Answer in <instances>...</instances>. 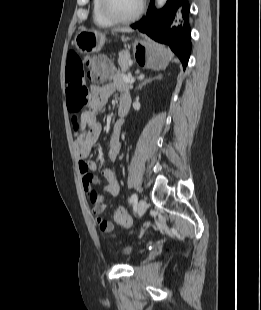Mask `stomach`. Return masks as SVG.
Returning <instances> with one entry per match:
<instances>
[{
	"label": "stomach",
	"mask_w": 261,
	"mask_h": 310,
	"mask_svg": "<svg viewBox=\"0 0 261 310\" xmlns=\"http://www.w3.org/2000/svg\"><path fill=\"white\" fill-rule=\"evenodd\" d=\"M105 41L106 39L103 33L89 30L78 32L75 36L74 44L80 52L88 54L101 50ZM133 48L135 58L141 66L154 70H162L169 63V52L161 45L136 41Z\"/></svg>",
	"instance_id": "stomach-1"
}]
</instances>
